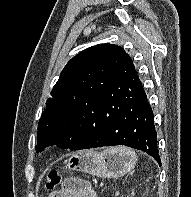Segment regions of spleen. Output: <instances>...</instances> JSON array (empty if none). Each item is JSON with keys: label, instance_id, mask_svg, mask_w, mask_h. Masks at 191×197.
<instances>
[{"label": "spleen", "instance_id": "obj_1", "mask_svg": "<svg viewBox=\"0 0 191 197\" xmlns=\"http://www.w3.org/2000/svg\"><path fill=\"white\" fill-rule=\"evenodd\" d=\"M116 151H118L121 154L127 155L131 158L132 161L137 160V156L136 153L134 152V150L130 149V148H126V147H117Z\"/></svg>", "mask_w": 191, "mask_h": 197}]
</instances>
